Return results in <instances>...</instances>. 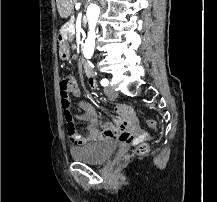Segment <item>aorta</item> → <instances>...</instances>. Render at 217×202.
Returning <instances> with one entry per match:
<instances>
[{
	"mask_svg": "<svg viewBox=\"0 0 217 202\" xmlns=\"http://www.w3.org/2000/svg\"><path fill=\"white\" fill-rule=\"evenodd\" d=\"M99 14H100L99 6H97L95 2L89 4L86 12L89 32H88L87 40H85V44H84V50H83L84 58H92L94 54L95 38H96L95 30H96Z\"/></svg>",
	"mask_w": 217,
	"mask_h": 202,
	"instance_id": "aorta-1",
	"label": "aorta"
}]
</instances>
